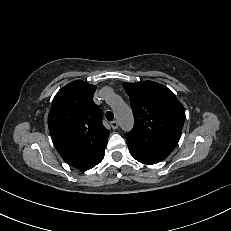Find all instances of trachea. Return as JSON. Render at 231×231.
I'll use <instances>...</instances> for the list:
<instances>
[{"mask_svg":"<svg viewBox=\"0 0 231 231\" xmlns=\"http://www.w3.org/2000/svg\"><path fill=\"white\" fill-rule=\"evenodd\" d=\"M105 116H106V119L109 121H112L114 119V115L111 111H107Z\"/></svg>","mask_w":231,"mask_h":231,"instance_id":"obj_1","label":"trachea"}]
</instances>
